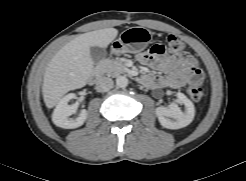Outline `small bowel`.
Wrapping results in <instances>:
<instances>
[{
    "instance_id": "small-bowel-1",
    "label": "small bowel",
    "mask_w": 246,
    "mask_h": 181,
    "mask_svg": "<svg viewBox=\"0 0 246 181\" xmlns=\"http://www.w3.org/2000/svg\"><path fill=\"white\" fill-rule=\"evenodd\" d=\"M163 46L162 44H157ZM167 53L155 54L151 50L137 55V60L145 66L154 68L167 75H144L143 84L149 88H180L192 82V69L197 67L195 58L187 52L165 56Z\"/></svg>"
}]
</instances>
